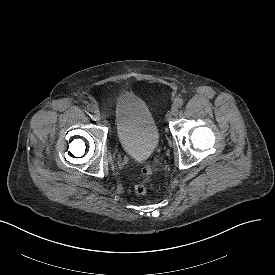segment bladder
<instances>
[{
    "instance_id": "obj_1",
    "label": "bladder",
    "mask_w": 275,
    "mask_h": 275,
    "mask_svg": "<svg viewBox=\"0 0 275 275\" xmlns=\"http://www.w3.org/2000/svg\"><path fill=\"white\" fill-rule=\"evenodd\" d=\"M114 112L121 149L136 160L150 157L158 148L160 134L144 100L134 92H123L116 99Z\"/></svg>"
}]
</instances>
